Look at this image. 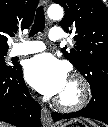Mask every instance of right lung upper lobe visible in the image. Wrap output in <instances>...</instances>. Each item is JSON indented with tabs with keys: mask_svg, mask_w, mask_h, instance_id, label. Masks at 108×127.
Returning a JSON list of instances; mask_svg holds the SVG:
<instances>
[{
	"mask_svg": "<svg viewBox=\"0 0 108 127\" xmlns=\"http://www.w3.org/2000/svg\"><path fill=\"white\" fill-rule=\"evenodd\" d=\"M39 0H0V50H8L7 36L28 28Z\"/></svg>",
	"mask_w": 108,
	"mask_h": 127,
	"instance_id": "obj_1",
	"label": "right lung upper lobe"
}]
</instances>
